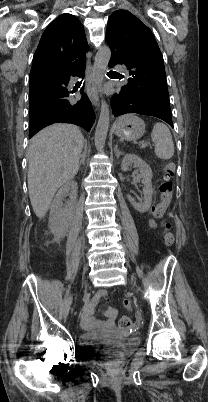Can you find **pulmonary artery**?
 <instances>
[{
    "label": "pulmonary artery",
    "mask_w": 208,
    "mask_h": 402,
    "mask_svg": "<svg viewBox=\"0 0 208 402\" xmlns=\"http://www.w3.org/2000/svg\"><path fill=\"white\" fill-rule=\"evenodd\" d=\"M126 71H127V69H126V67L124 65H118V67L116 69V72L118 74H121L122 72H126Z\"/></svg>",
    "instance_id": "obj_1"
}]
</instances>
